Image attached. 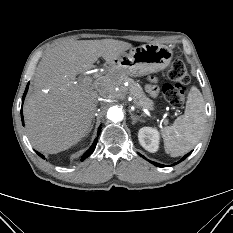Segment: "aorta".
<instances>
[{
	"label": "aorta",
	"instance_id": "762f6f07",
	"mask_svg": "<svg viewBox=\"0 0 233 233\" xmlns=\"http://www.w3.org/2000/svg\"><path fill=\"white\" fill-rule=\"evenodd\" d=\"M123 112L120 108L113 106L107 112V118L112 122H119L123 119Z\"/></svg>",
	"mask_w": 233,
	"mask_h": 233
}]
</instances>
